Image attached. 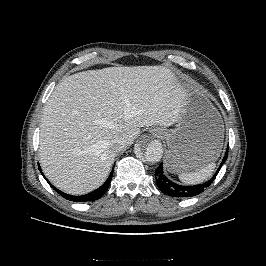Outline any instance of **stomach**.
Returning a JSON list of instances; mask_svg holds the SVG:
<instances>
[{"instance_id": "stomach-1", "label": "stomach", "mask_w": 266, "mask_h": 266, "mask_svg": "<svg viewBox=\"0 0 266 266\" xmlns=\"http://www.w3.org/2000/svg\"><path fill=\"white\" fill-rule=\"evenodd\" d=\"M184 104L176 128L156 127L153 135H160L166 144L165 165L172 173L198 171L213 163L223 147L224 128L217 109L202 89L191 82L182 86Z\"/></svg>"}]
</instances>
